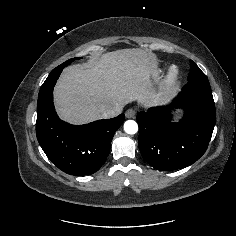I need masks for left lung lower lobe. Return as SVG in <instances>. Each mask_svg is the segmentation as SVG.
<instances>
[{
	"label": "left lung lower lobe",
	"mask_w": 236,
	"mask_h": 236,
	"mask_svg": "<svg viewBox=\"0 0 236 236\" xmlns=\"http://www.w3.org/2000/svg\"><path fill=\"white\" fill-rule=\"evenodd\" d=\"M171 107L184 109L180 122H171ZM215 118L209 81L188 82L174 98L172 106L150 108L137 114L142 157L160 171L193 164L207 150Z\"/></svg>",
	"instance_id": "left-lung-lower-lobe-1"
}]
</instances>
